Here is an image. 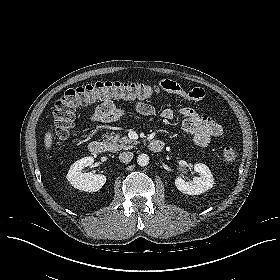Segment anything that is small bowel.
I'll list each match as a JSON object with an SVG mask.
<instances>
[{
	"label": "small bowel",
	"instance_id": "c3829d8e",
	"mask_svg": "<svg viewBox=\"0 0 280 280\" xmlns=\"http://www.w3.org/2000/svg\"><path fill=\"white\" fill-rule=\"evenodd\" d=\"M160 85L165 92L173 94L189 104L202 101L205 97V91L202 88L186 90L180 84L171 80H163ZM134 109L138 114L144 116L157 114L156 107L144 101L136 102ZM159 114L166 121L181 116L183 118V130L192 136L194 142L199 146H207L213 138L224 134L222 126L214 118L207 114H198L191 107H184L180 110L165 108ZM123 115L124 111L121 108L117 107L113 101L106 100L96 109L93 119L94 121L109 123L120 119Z\"/></svg>",
	"mask_w": 280,
	"mask_h": 280
}]
</instances>
